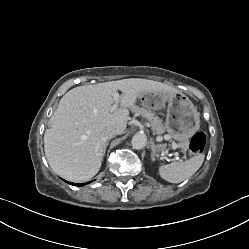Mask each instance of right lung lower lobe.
Segmentation results:
<instances>
[{
    "mask_svg": "<svg viewBox=\"0 0 249 249\" xmlns=\"http://www.w3.org/2000/svg\"><path fill=\"white\" fill-rule=\"evenodd\" d=\"M69 184H71V185H77V186H83V185H85V184H74V183H69Z\"/></svg>",
    "mask_w": 249,
    "mask_h": 249,
    "instance_id": "right-lung-lower-lobe-1",
    "label": "right lung lower lobe"
}]
</instances>
